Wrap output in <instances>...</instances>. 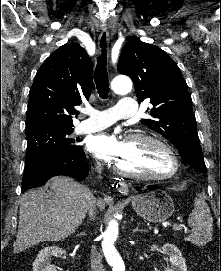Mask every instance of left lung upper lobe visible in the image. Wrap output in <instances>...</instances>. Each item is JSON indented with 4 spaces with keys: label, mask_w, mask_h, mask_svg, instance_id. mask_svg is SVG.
I'll list each match as a JSON object with an SVG mask.
<instances>
[{
    "label": "left lung upper lobe",
    "mask_w": 221,
    "mask_h": 271,
    "mask_svg": "<svg viewBox=\"0 0 221 271\" xmlns=\"http://www.w3.org/2000/svg\"><path fill=\"white\" fill-rule=\"evenodd\" d=\"M117 69L132 79L140 102L150 98L152 118L141 123L171 141L190 167L206 173L191 96L177 64L159 47L133 38Z\"/></svg>",
    "instance_id": "5c2ea615"
}]
</instances>
